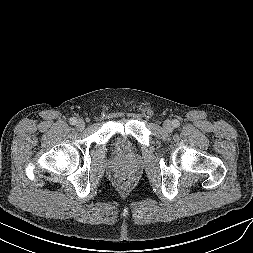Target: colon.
<instances>
[{
  "label": "colon",
  "mask_w": 253,
  "mask_h": 253,
  "mask_svg": "<svg viewBox=\"0 0 253 253\" xmlns=\"http://www.w3.org/2000/svg\"><path fill=\"white\" fill-rule=\"evenodd\" d=\"M128 184H129V180L128 179H122L121 180V185L127 186Z\"/></svg>",
  "instance_id": "1"
}]
</instances>
